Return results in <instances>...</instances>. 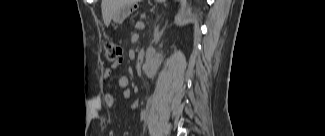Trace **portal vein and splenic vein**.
I'll use <instances>...</instances> for the list:
<instances>
[{
	"instance_id": "18ae733b",
	"label": "portal vein and splenic vein",
	"mask_w": 325,
	"mask_h": 136,
	"mask_svg": "<svg viewBox=\"0 0 325 136\" xmlns=\"http://www.w3.org/2000/svg\"><path fill=\"white\" fill-rule=\"evenodd\" d=\"M137 26L140 27V28H143V23L142 22H138L137 23Z\"/></svg>"
}]
</instances>
